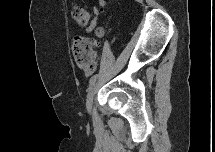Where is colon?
I'll use <instances>...</instances> for the list:
<instances>
[{
    "label": "colon",
    "instance_id": "1",
    "mask_svg": "<svg viewBox=\"0 0 215 152\" xmlns=\"http://www.w3.org/2000/svg\"><path fill=\"white\" fill-rule=\"evenodd\" d=\"M100 3L103 4L104 1H100ZM72 15L78 26L85 27L89 24L90 15L85 9L76 6L72 9ZM94 45L95 42L92 39L83 36H76L71 45L75 63L87 75H91L95 70Z\"/></svg>",
    "mask_w": 215,
    "mask_h": 152
}]
</instances>
